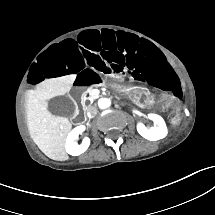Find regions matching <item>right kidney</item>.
Returning <instances> with one entry per match:
<instances>
[{"label":"right kidney","mask_w":215,"mask_h":215,"mask_svg":"<svg viewBox=\"0 0 215 215\" xmlns=\"http://www.w3.org/2000/svg\"><path fill=\"white\" fill-rule=\"evenodd\" d=\"M78 131H74V129L69 133L66 140V152L72 156H78L85 152L90 144L89 138H84L81 144L76 143V139L78 138L79 133H82L86 130L85 125H79Z\"/></svg>","instance_id":"1"}]
</instances>
